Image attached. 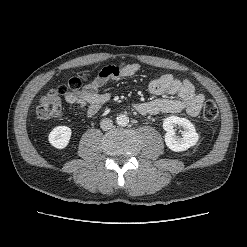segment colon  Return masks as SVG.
<instances>
[{"label": "colon", "mask_w": 247, "mask_h": 247, "mask_svg": "<svg viewBox=\"0 0 247 247\" xmlns=\"http://www.w3.org/2000/svg\"><path fill=\"white\" fill-rule=\"evenodd\" d=\"M84 77H74L70 79L67 86L62 87V89H52L45 93L39 101L36 109L37 116L42 120H51L61 113V91L64 89H69L72 91L79 90L84 81ZM203 117L212 121L218 117L219 111L216 103L212 100H208L203 106Z\"/></svg>", "instance_id": "obj_1"}]
</instances>
